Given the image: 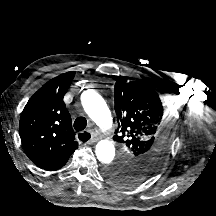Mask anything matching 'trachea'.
Wrapping results in <instances>:
<instances>
[{
  "label": "trachea",
  "mask_w": 216,
  "mask_h": 216,
  "mask_svg": "<svg viewBox=\"0 0 216 216\" xmlns=\"http://www.w3.org/2000/svg\"><path fill=\"white\" fill-rule=\"evenodd\" d=\"M87 126V120L84 117H78L75 121H74V128L77 131H82L86 128ZM80 140L86 142L90 139V135L87 133L81 134V136L79 137Z\"/></svg>",
  "instance_id": "obj_1"
}]
</instances>
